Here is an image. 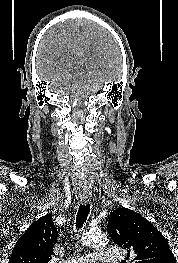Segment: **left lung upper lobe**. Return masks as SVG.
Instances as JSON below:
<instances>
[{"label": "left lung upper lobe", "instance_id": "left-lung-upper-lobe-1", "mask_svg": "<svg viewBox=\"0 0 178 263\" xmlns=\"http://www.w3.org/2000/svg\"><path fill=\"white\" fill-rule=\"evenodd\" d=\"M107 232L135 263H176L165 237L140 214L120 208L110 215Z\"/></svg>", "mask_w": 178, "mask_h": 263}]
</instances>
